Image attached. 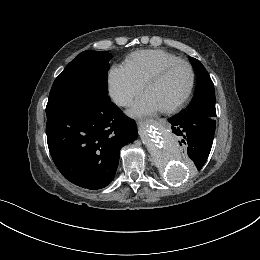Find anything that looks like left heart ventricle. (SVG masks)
I'll return each mask as SVG.
<instances>
[{"label":"left heart ventricle","mask_w":260,"mask_h":260,"mask_svg":"<svg viewBox=\"0 0 260 260\" xmlns=\"http://www.w3.org/2000/svg\"><path fill=\"white\" fill-rule=\"evenodd\" d=\"M189 83V70L184 66H179L152 84L146 93L152 97L160 108H164L180 99L188 89Z\"/></svg>","instance_id":"1"}]
</instances>
